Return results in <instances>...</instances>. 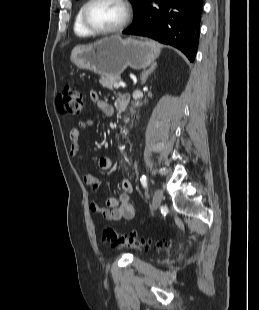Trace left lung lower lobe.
<instances>
[{
    "mask_svg": "<svg viewBox=\"0 0 259 310\" xmlns=\"http://www.w3.org/2000/svg\"><path fill=\"white\" fill-rule=\"evenodd\" d=\"M155 2L158 6H152ZM203 0H146L124 34L140 35L180 49L193 62Z\"/></svg>",
    "mask_w": 259,
    "mask_h": 310,
    "instance_id": "left-lung-lower-lobe-1",
    "label": "left lung lower lobe"
}]
</instances>
